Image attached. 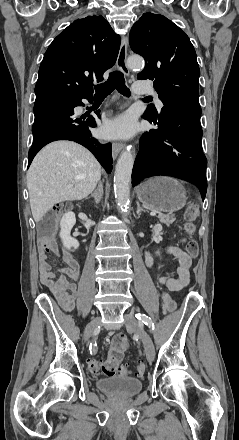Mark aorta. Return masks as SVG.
I'll return each instance as SVG.
<instances>
[{
    "label": "aorta",
    "mask_w": 239,
    "mask_h": 440,
    "mask_svg": "<svg viewBox=\"0 0 239 440\" xmlns=\"http://www.w3.org/2000/svg\"><path fill=\"white\" fill-rule=\"evenodd\" d=\"M129 68H142L144 60L141 56L128 58ZM135 160V154L131 148L123 150L115 168L114 190L117 206L122 212H127L130 204L131 174Z\"/></svg>",
    "instance_id": "obj_1"
}]
</instances>
